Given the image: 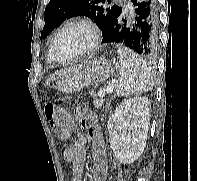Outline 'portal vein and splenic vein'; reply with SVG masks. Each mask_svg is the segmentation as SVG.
Here are the masks:
<instances>
[{"label":"portal vein and splenic vein","instance_id":"18ae733b","mask_svg":"<svg viewBox=\"0 0 197 181\" xmlns=\"http://www.w3.org/2000/svg\"><path fill=\"white\" fill-rule=\"evenodd\" d=\"M114 89L113 85H109L106 88H101L98 92V96L99 98H103L105 96L106 93H110L112 92Z\"/></svg>","mask_w":197,"mask_h":181}]
</instances>
